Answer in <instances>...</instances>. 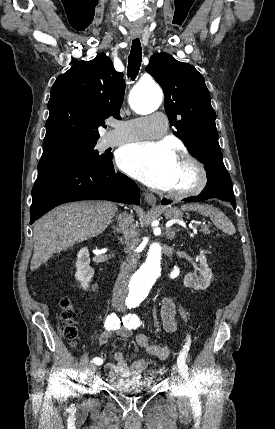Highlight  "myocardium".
I'll list each match as a JSON object with an SVG mask.
<instances>
[{"instance_id":"myocardium-1","label":"myocardium","mask_w":275,"mask_h":429,"mask_svg":"<svg viewBox=\"0 0 275 429\" xmlns=\"http://www.w3.org/2000/svg\"><path fill=\"white\" fill-rule=\"evenodd\" d=\"M179 160L189 164L195 172V181L193 185L183 190H169L168 196L174 199H186L200 194L206 187L208 175L204 165L193 155L182 152L179 154Z\"/></svg>"}]
</instances>
